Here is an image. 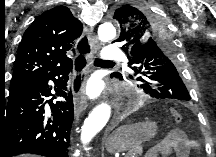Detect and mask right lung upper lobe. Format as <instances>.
<instances>
[{"mask_svg":"<svg viewBox=\"0 0 216 157\" xmlns=\"http://www.w3.org/2000/svg\"><path fill=\"white\" fill-rule=\"evenodd\" d=\"M82 29L81 22L66 6L54 7L37 17L19 44L10 90L71 64L66 52L81 35Z\"/></svg>","mask_w":216,"mask_h":157,"instance_id":"cb5924a9","label":"right lung upper lobe"}]
</instances>
